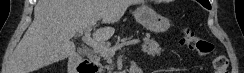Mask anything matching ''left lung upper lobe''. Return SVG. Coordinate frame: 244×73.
<instances>
[{"instance_id":"obj_1","label":"left lung upper lobe","mask_w":244,"mask_h":73,"mask_svg":"<svg viewBox=\"0 0 244 73\" xmlns=\"http://www.w3.org/2000/svg\"><path fill=\"white\" fill-rule=\"evenodd\" d=\"M204 1H206L207 2V4H209V0H204ZM206 8H207V6H205Z\"/></svg>"}]
</instances>
